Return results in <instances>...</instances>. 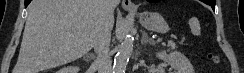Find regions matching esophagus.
<instances>
[{
    "instance_id": "34e87169",
    "label": "esophagus",
    "mask_w": 244,
    "mask_h": 73,
    "mask_svg": "<svg viewBox=\"0 0 244 73\" xmlns=\"http://www.w3.org/2000/svg\"><path fill=\"white\" fill-rule=\"evenodd\" d=\"M122 7L125 10H136L135 5L130 0H123L122 1Z\"/></svg>"
}]
</instances>
